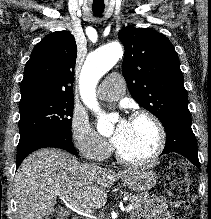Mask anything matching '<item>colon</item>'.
Returning a JSON list of instances; mask_svg holds the SVG:
<instances>
[{"label": "colon", "mask_w": 211, "mask_h": 219, "mask_svg": "<svg viewBox=\"0 0 211 219\" xmlns=\"http://www.w3.org/2000/svg\"><path fill=\"white\" fill-rule=\"evenodd\" d=\"M189 166L186 162L177 160L165 171V187L171 206L173 219H191V209L188 199ZM43 219H62L57 216H47ZM70 219V218H66Z\"/></svg>", "instance_id": "5ec220e1"}]
</instances>
